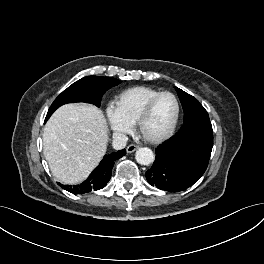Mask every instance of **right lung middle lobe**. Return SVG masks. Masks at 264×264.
Masks as SVG:
<instances>
[{"instance_id": "dd1d6c3e", "label": "right lung middle lobe", "mask_w": 264, "mask_h": 264, "mask_svg": "<svg viewBox=\"0 0 264 264\" xmlns=\"http://www.w3.org/2000/svg\"><path fill=\"white\" fill-rule=\"evenodd\" d=\"M121 81L111 77L87 76L66 90H64L52 103L45 121L61 105L72 102H86L100 106L102 95L110 88L120 84Z\"/></svg>"}]
</instances>
